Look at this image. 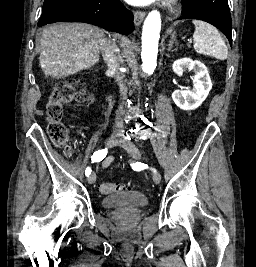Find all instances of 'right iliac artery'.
Returning a JSON list of instances; mask_svg holds the SVG:
<instances>
[{
	"label": "right iliac artery",
	"mask_w": 256,
	"mask_h": 267,
	"mask_svg": "<svg viewBox=\"0 0 256 267\" xmlns=\"http://www.w3.org/2000/svg\"><path fill=\"white\" fill-rule=\"evenodd\" d=\"M106 154H107V148L94 152L92 156V162H100L106 156ZM91 171H92L91 168L87 167L85 170V175L89 176L91 174Z\"/></svg>",
	"instance_id": "1"
}]
</instances>
